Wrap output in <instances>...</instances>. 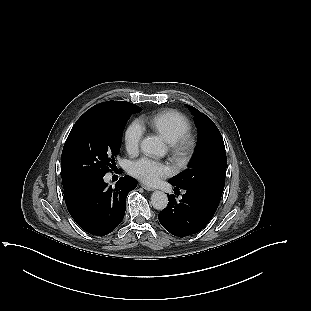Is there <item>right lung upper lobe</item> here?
Returning <instances> with one entry per match:
<instances>
[{
    "label": "right lung upper lobe",
    "mask_w": 311,
    "mask_h": 311,
    "mask_svg": "<svg viewBox=\"0 0 311 311\" xmlns=\"http://www.w3.org/2000/svg\"><path fill=\"white\" fill-rule=\"evenodd\" d=\"M121 102H125V101H121ZM126 104L132 105V106H136L135 104L129 103V102H125Z\"/></svg>",
    "instance_id": "1"
}]
</instances>
